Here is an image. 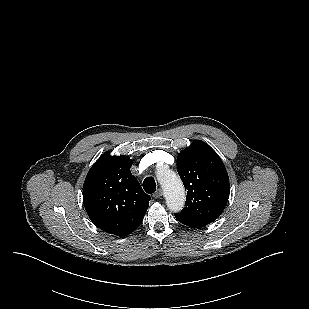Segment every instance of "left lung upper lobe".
Listing matches in <instances>:
<instances>
[{"instance_id": "obj_1", "label": "left lung upper lobe", "mask_w": 309, "mask_h": 309, "mask_svg": "<svg viewBox=\"0 0 309 309\" xmlns=\"http://www.w3.org/2000/svg\"><path fill=\"white\" fill-rule=\"evenodd\" d=\"M177 171L187 190L185 208L175 214L200 227L215 221L229 198V177L217 153L203 141L193 142L178 155Z\"/></svg>"}]
</instances>
